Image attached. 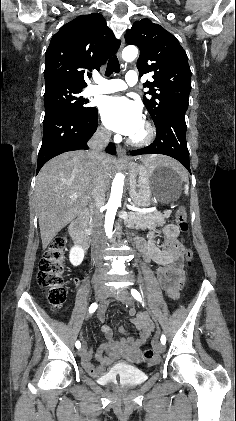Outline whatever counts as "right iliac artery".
I'll list each match as a JSON object with an SVG mask.
<instances>
[{
    "label": "right iliac artery",
    "instance_id": "1",
    "mask_svg": "<svg viewBox=\"0 0 236 421\" xmlns=\"http://www.w3.org/2000/svg\"><path fill=\"white\" fill-rule=\"evenodd\" d=\"M97 307H98L97 303L91 304V306L89 307V313L95 312ZM75 346H76L77 349H79L81 347L80 341H76Z\"/></svg>",
    "mask_w": 236,
    "mask_h": 421
}]
</instances>
